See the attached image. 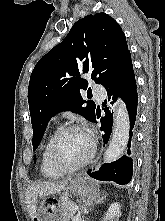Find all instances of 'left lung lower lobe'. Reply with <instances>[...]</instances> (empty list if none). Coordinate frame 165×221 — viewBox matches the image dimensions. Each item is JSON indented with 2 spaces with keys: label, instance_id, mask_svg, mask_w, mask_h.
<instances>
[{
  "label": "left lung lower lobe",
  "instance_id": "obj_1",
  "mask_svg": "<svg viewBox=\"0 0 165 221\" xmlns=\"http://www.w3.org/2000/svg\"><path fill=\"white\" fill-rule=\"evenodd\" d=\"M107 91V99L111 105L116 101L117 97H121L126 103L130 119V138L128 142V156H123L115 162L104 164L97 171H88V175L101 181H114L118 184L125 185L131 181L133 171V160L130 151L132 129L134 127L137 115V85L131 61V55L128 54L121 66L113 74V76L103 85ZM107 103L105 100L104 104ZM106 115L101 118V130H103L104 144L108 142L113 125L112 108L104 105ZM96 121V116L93 120Z\"/></svg>",
  "mask_w": 165,
  "mask_h": 221
}]
</instances>
